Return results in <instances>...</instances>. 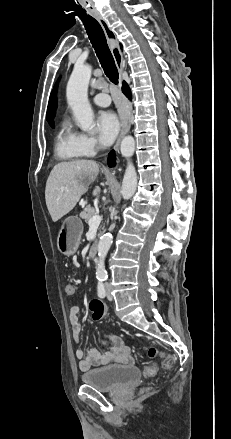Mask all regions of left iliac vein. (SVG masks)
<instances>
[{"instance_id":"obj_1","label":"left iliac vein","mask_w":231,"mask_h":439,"mask_svg":"<svg viewBox=\"0 0 231 439\" xmlns=\"http://www.w3.org/2000/svg\"><path fill=\"white\" fill-rule=\"evenodd\" d=\"M105 291L108 300H113V296L111 294L110 285L108 283L105 284Z\"/></svg>"}]
</instances>
